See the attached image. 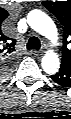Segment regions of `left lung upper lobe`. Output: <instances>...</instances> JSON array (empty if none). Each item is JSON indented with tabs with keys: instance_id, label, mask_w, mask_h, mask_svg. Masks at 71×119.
<instances>
[{
	"instance_id": "5c2ea615",
	"label": "left lung upper lobe",
	"mask_w": 71,
	"mask_h": 119,
	"mask_svg": "<svg viewBox=\"0 0 71 119\" xmlns=\"http://www.w3.org/2000/svg\"><path fill=\"white\" fill-rule=\"evenodd\" d=\"M42 4L57 17L63 26V56L61 66L71 68V49L67 47L71 43V1H43Z\"/></svg>"
}]
</instances>
